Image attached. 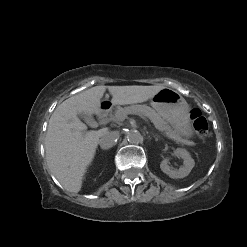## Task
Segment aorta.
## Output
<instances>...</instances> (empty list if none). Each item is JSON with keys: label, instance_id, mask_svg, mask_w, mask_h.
Segmentation results:
<instances>
[{"label": "aorta", "instance_id": "1", "mask_svg": "<svg viewBox=\"0 0 247 247\" xmlns=\"http://www.w3.org/2000/svg\"><path fill=\"white\" fill-rule=\"evenodd\" d=\"M127 140L131 144H138V143L143 141V136L141 135V133L138 130L131 129L127 132Z\"/></svg>", "mask_w": 247, "mask_h": 247}]
</instances>
